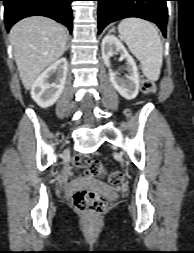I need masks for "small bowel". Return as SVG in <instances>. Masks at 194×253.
Listing matches in <instances>:
<instances>
[{"label": "small bowel", "instance_id": "1", "mask_svg": "<svg viewBox=\"0 0 194 253\" xmlns=\"http://www.w3.org/2000/svg\"><path fill=\"white\" fill-rule=\"evenodd\" d=\"M71 171L69 167H66L58 178L59 185L65 189H71V185L68 183V177L70 176Z\"/></svg>", "mask_w": 194, "mask_h": 253}]
</instances>
